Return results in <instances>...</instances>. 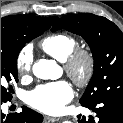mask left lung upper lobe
Masks as SVG:
<instances>
[{
  "mask_svg": "<svg viewBox=\"0 0 123 123\" xmlns=\"http://www.w3.org/2000/svg\"><path fill=\"white\" fill-rule=\"evenodd\" d=\"M66 29L88 43L94 58V74L80 99L91 104L123 95V34L111 21L91 13L60 18L51 31Z\"/></svg>",
  "mask_w": 123,
  "mask_h": 123,
  "instance_id": "left-lung-upper-lobe-1",
  "label": "left lung upper lobe"
}]
</instances>
